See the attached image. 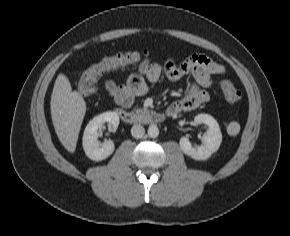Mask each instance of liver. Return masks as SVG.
<instances>
[{"label": "liver", "instance_id": "1", "mask_svg": "<svg viewBox=\"0 0 290 236\" xmlns=\"http://www.w3.org/2000/svg\"><path fill=\"white\" fill-rule=\"evenodd\" d=\"M50 108L58 139L67 151L74 153L86 103L79 92L72 91L68 78L62 73L55 80Z\"/></svg>", "mask_w": 290, "mask_h": 236}]
</instances>
